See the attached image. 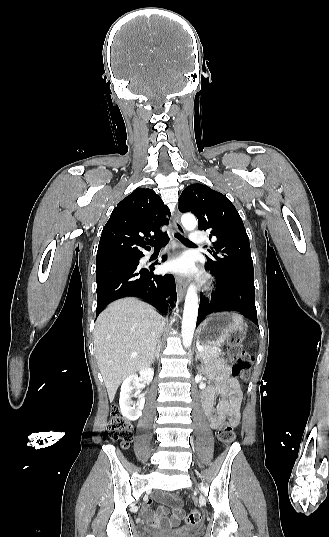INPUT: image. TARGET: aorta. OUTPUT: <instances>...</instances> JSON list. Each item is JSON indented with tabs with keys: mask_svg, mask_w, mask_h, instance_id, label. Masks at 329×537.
I'll list each match as a JSON object with an SVG mask.
<instances>
[{
	"mask_svg": "<svg viewBox=\"0 0 329 537\" xmlns=\"http://www.w3.org/2000/svg\"><path fill=\"white\" fill-rule=\"evenodd\" d=\"M183 226L187 230H193L197 226V220L195 216L190 214H185L181 218ZM199 308V299L196 293L194 285H190L187 294L185 297L183 319H182V328L181 335L183 340V345L185 348H188L193 339L194 330L196 327L197 315Z\"/></svg>",
	"mask_w": 329,
	"mask_h": 537,
	"instance_id": "762f6f07",
	"label": "aorta"
}]
</instances>
